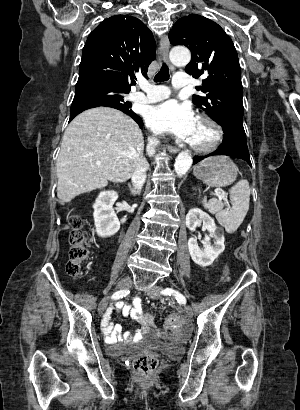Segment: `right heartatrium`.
Masks as SVG:
<instances>
[{
    "instance_id": "obj_1",
    "label": "right heart atrium",
    "mask_w": 300,
    "mask_h": 410,
    "mask_svg": "<svg viewBox=\"0 0 300 410\" xmlns=\"http://www.w3.org/2000/svg\"><path fill=\"white\" fill-rule=\"evenodd\" d=\"M150 141H151L152 145H156V144H158V137L155 136V135H152L151 138H150Z\"/></svg>"
}]
</instances>
